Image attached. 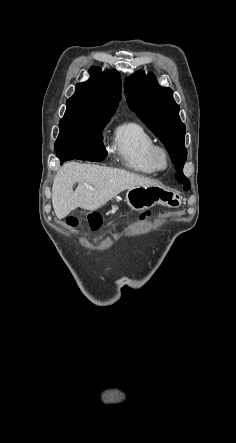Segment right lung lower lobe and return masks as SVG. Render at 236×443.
Returning a JSON list of instances; mask_svg holds the SVG:
<instances>
[{
  "label": "right lung lower lobe",
  "instance_id": "obj_1",
  "mask_svg": "<svg viewBox=\"0 0 236 443\" xmlns=\"http://www.w3.org/2000/svg\"><path fill=\"white\" fill-rule=\"evenodd\" d=\"M61 164L67 160L79 159V160H89V161H102L106 155V148L96 145H81L65 147L56 152Z\"/></svg>",
  "mask_w": 236,
  "mask_h": 443
}]
</instances>
